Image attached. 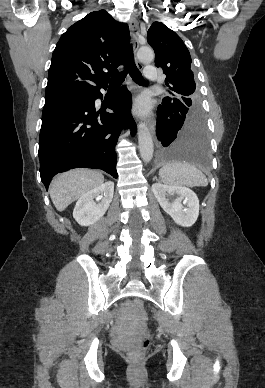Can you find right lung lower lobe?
<instances>
[{
	"mask_svg": "<svg viewBox=\"0 0 265 388\" xmlns=\"http://www.w3.org/2000/svg\"><path fill=\"white\" fill-rule=\"evenodd\" d=\"M97 98H102L100 89L43 109L38 154L46 189L55 174L77 167L102 169L118 177L115 145L120 130L136 133L131 94L122 87L108 106L112 112H96Z\"/></svg>",
	"mask_w": 265,
	"mask_h": 388,
	"instance_id": "1",
	"label": "right lung lower lobe"
}]
</instances>
